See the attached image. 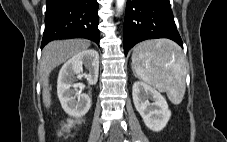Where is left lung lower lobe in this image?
<instances>
[{
	"instance_id": "obj_1",
	"label": "left lung lower lobe",
	"mask_w": 227,
	"mask_h": 142,
	"mask_svg": "<svg viewBox=\"0 0 227 142\" xmlns=\"http://www.w3.org/2000/svg\"><path fill=\"white\" fill-rule=\"evenodd\" d=\"M168 38L181 47L169 0H127L123 26L124 53L138 42Z\"/></svg>"
}]
</instances>
